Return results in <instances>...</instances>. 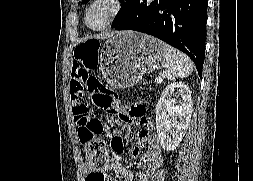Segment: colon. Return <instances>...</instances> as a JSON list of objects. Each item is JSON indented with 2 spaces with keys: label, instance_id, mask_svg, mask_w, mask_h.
<instances>
[{
  "label": "colon",
  "instance_id": "1",
  "mask_svg": "<svg viewBox=\"0 0 253 181\" xmlns=\"http://www.w3.org/2000/svg\"><path fill=\"white\" fill-rule=\"evenodd\" d=\"M96 49H101V41L97 38L82 41L73 53L75 61L93 67L95 60H99V50ZM74 101L78 138L86 150L88 163L92 167H102L107 160V148L102 139L104 124L93 110L113 114L116 95L107 90L97 78H90L86 92Z\"/></svg>",
  "mask_w": 253,
  "mask_h": 181
}]
</instances>
